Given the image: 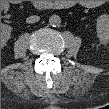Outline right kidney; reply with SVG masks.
I'll return each mask as SVG.
<instances>
[{"instance_id":"obj_1","label":"right kidney","mask_w":109,"mask_h":109,"mask_svg":"<svg viewBox=\"0 0 109 109\" xmlns=\"http://www.w3.org/2000/svg\"><path fill=\"white\" fill-rule=\"evenodd\" d=\"M11 31H12V28L8 25H4L2 27V32H1V43H2V45H5L6 42L10 39Z\"/></svg>"}]
</instances>
